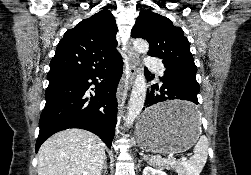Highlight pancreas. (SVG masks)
Returning <instances> with one entry per match:
<instances>
[{
	"label": "pancreas",
	"instance_id": "pancreas-1",
	"mask_svg": "<svg viewBox=\"0 0 251 175\" xmlns=\"http://www.w3.org/2000/svg\"><path fill=\"white\" fill-rule=\"evenodd\" d=\"M150 161L151 165H158L160 169H164V167L172 165V161H170V159H163V157H158V155H151Z\"/></svg>",
	"mask_w": 251,
	"mask_h": 175
}]
</instances>
